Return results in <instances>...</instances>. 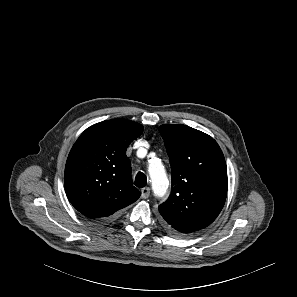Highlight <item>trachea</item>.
Returning a JSON list of instances; mask_svg holds the SVG:
<instances>
[{
  "mask_svg": "<svg viewBox=\"0 0 297 297\" xmlns=\"http://www.w3.org/2000/svg\"><path fill=\"white\" fill-rule=\"evenodd\" d=\"M135 186L137 187H144L147 184V177L144 173L138 172L136 177H135Z\"/></svg>",
  "mask_w": 297,
  "mask_h": 297,
  "instance_id": "3493384b",
  "label": "trachea"
}]
</instances>
